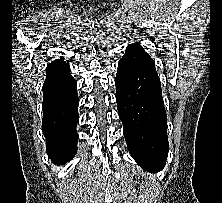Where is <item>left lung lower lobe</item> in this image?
I'll use <instances>...</instances> for the list:
<instances>
[{
	"label": "left lung lower lobe",
	"mask_w": 222,
	"mask_h": 203,
	"mask_svg": "<svg viewBox=\"0 0 222 203\" xmlns=\"http://www.w3.org/2000/svg\"><path fill=\"white\" fill-rule=\"evenodd\" d=\"M115 85L128 150L144 170L156 173L165 166L169 150L167 117L155 63L140 44L128 45Z\"/></svg>",
	"instance_id": "1"
}]
</instances>
